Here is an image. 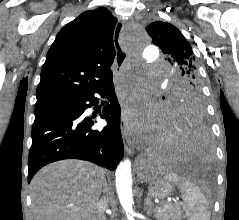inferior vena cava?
Masks as SVG:
<instances>
[{"mask_svg": "<svg viewBox=\"0 0 239 220\" xmlns=\"http://www.w3.org/2000/svg\"><path fill=\"white\" fill-rule=\"evenodd\" d=\"M108 207V199L104 196L96 204L97 209V220H106L104 212Z\"/></svg>", "mask_w": 239, "mask_h": 220, "instance_id": "inferior-vena-cava-1", "label": "inferior vena cava"}]
</instances>
